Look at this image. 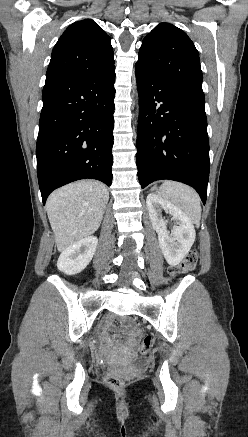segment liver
I'll return each instance as SVG.
<instances>
[{
  "label": "liver",
  "instance_id": "6515ba94",
  "mask_svg": "<svg viewBox=\"0 0 248 437\" xmlns=\"http://www.w3.org/2000/svg\"><path fill=\"white\" fill-rule=\"evenodd\" d=\"M108 200L106 186L93 180L68 184L49 196L46 209L58 251L99 228Z\"/></svg>",
  "mask_w": 248,
  "mask_h": 437
}]
</instances>
